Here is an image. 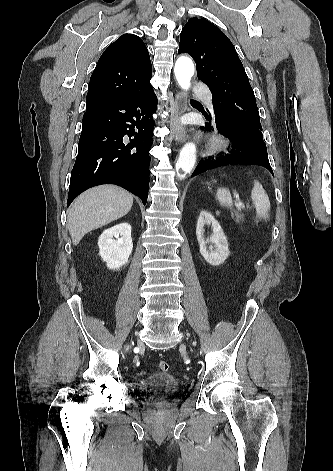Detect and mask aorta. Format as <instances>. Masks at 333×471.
<instances>
[{
    "mask_svg": "<svg viewBox=\"0 0 333 471\" xmlns=\"http://www.w3.org/2000/svg\"><path fill=\"white\" fill-rule=\"evenodd\" d=\"M193 61L188 57H180L177 59L174 66V74L179 86L183 90H188L191 86L190 80L194 75ZM196 162V146L194 143L189 142L181 149L177 163L176 170L181 169L184 174L181 176L185 178L186 174L191 171Z\"/></svg>",
    "mask_w": 333,
    "mask_h": 471,
    "instance_id": "obj_1",
    "label": "aorta"
}]
</instances>
